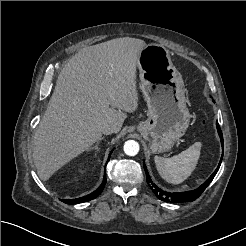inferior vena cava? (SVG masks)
<instances>
[{"instance_id": "obj_1", "label": "inferior vena cava", "mask_w": 246, "mask_h": 246, "mask_svg": "<svg viewBox=\"0 0 246 246\" xmlns=\"http://www.w3.org/2000/svg\"><path fill=\"white\" fill-rule=\"evenodd\" d=\"M101 132L105 135H109V134L115 133L116 128L112 124L105 123L101 128Z\"/></svg>"}]
</instances>
